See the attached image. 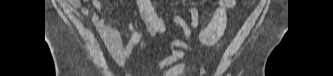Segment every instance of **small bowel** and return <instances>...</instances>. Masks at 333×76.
Instances as JSON below:
<instances>
[{"instance_id": "obj_1", "label": "small bowel", "mask_w": 333, "mask_h": 76, "mask_svg": "<svg viewBox=\"0 0 333 76\" xmlns=\"http://www.w3.org/2000/svg\"><path fill=\"white\" fill-rule=\"evenodd\" d=\"M67 7L71 10L81 8L83 1L67 0ZM140 17L150 34L164 32L166 27L163 20L157 15L149 0H136ZM235 0H220L214 14L205 28H203L197 40L205 46L215 45L224 34L227 25V12L234 7ZM191 20L188 24L184 18L179 15L172 17V21L180 26L183 30L184 40L175 39L171 42V52L163 60L153 64L154 67L163 71L164 76H179L185 73L186 65L178 63L185 56V52L190 50L189 41L192 39V30L199 26V13L196 7L188 9ZM83 16H91V22L98 30L105 47L115 60V62L123 66L132 51L139 47L144 49L145 44L142 36L135 30L133 24H129L127 29L132 32L131 39L124 45L118 29L112 25L104 16L102 2L100 0H92L91 5L81 8Z\"/></svg>"}]
</instances>
